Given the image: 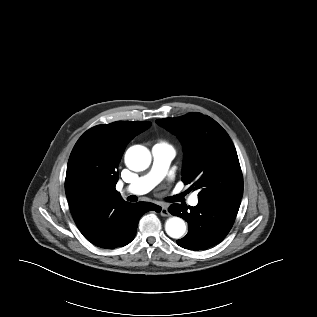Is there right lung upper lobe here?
Listing matches in <instances>:
<instances>
[{
  "label": "right lung upper lobe",
  "mask_w": 317,
  "mask_h": 317,
  "mask_svg": "<svg viewBox=\"0 0 317 317\" xmlns=\"http://www.w3.org/2000/svg\"><path fill=\"white\" fill-rule=\"evenodd\" d=\"M150 126V122L117 121L87 130L69 157L65 180L67 198L85 192L97 195L104 202L122 200L115 189L119 162L129 141Z\"/></svg>",
  "instance_id": "1"
}]
</instances>
